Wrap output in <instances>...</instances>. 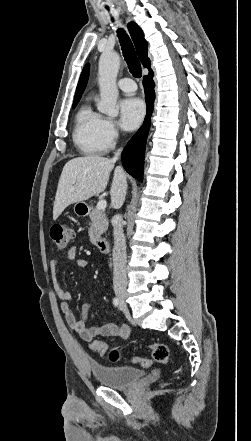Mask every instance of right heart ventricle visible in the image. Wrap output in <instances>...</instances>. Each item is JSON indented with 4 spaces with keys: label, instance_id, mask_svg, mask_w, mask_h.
<instances>
[{
    "label": "right heart ventricle",
    "instance_id": "right-heart-ventricle-1",
    "mask_svg": "<svg viewBox=\"0 0 251 441\" xmlns=\"http://www.w3.org/2000/svg\"><path fill=\"white\" fill-rule=\"evenodd\" d=\"M103 120L104 118L92 108L89 102L82 104L77 111L73 141L83 154H102L110 147L102 133Z\"/></svg>",
    "mask_w": 251,
    "mask_h": 441
}]
</instances>
